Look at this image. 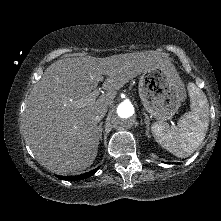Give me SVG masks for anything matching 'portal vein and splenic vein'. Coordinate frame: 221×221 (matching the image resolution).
<instances>
[{"label": "portal vein and splenic vein", "instance_id": "1", "mask_svg": "<svg viewBox=\"0 0 221 221\" xmlns=\"http://www.w3.org/2000/svg\"><path fill=\"white\" fill-rule=\"evenodd\" d=\"M101 80H102V78H101ZM98 95H99V91H98V90H94L93 92H91V93L89 94V99H88V101L94 100Z\"/></svg>", "mask_w": 221, "mask_h": 221}]
</instances>
